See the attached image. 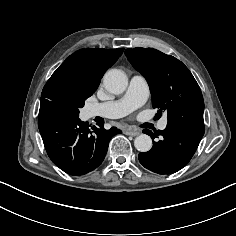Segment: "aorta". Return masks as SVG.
<instances>
[{
  "label": "aorta",
  "mask_w": 236,
  "mask_h": 236,
  "mask_svg": "<svg viewBox=\"0 0 236 236\" xmlns=\"http://www.w3.org/2000/svg\"><path fill=\"white\" fill-rule=\"evenodd\" d=\"M103 85L108 92L112 94H121L127 88L128 79L123 71L112 69L105 73ZM134 146L140 152H147L152 148V139L147 134H141L135 138Z\"/></svg>",
  "instance_id": "762f6f07"
}]
</instances>
